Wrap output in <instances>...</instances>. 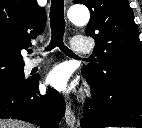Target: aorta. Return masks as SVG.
<instances>
[{
  "mask_svg": "<svg viewBox=\"0 0 142 128\" xmlns=\"http://www.w3.org/2000/svg\"><path fill=\"white\" fill-rule=\"evenodd\" d=\"M68 18L76 26H85L89 22L90 13L84 6H75L69 9Z\"/></svg>",
  "mask_w": 142,
  "mask_h": 128,
  "instance_id": "1",
  "label": "aorta"
}]
</instances>
